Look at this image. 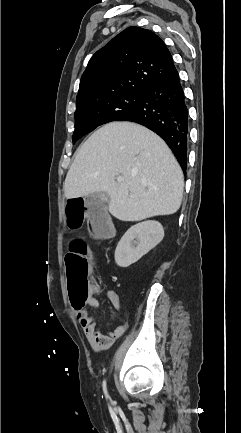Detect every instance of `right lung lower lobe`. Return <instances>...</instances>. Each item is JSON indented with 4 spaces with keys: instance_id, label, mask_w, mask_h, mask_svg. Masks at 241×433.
<instances>
[{
    "instance_id": "1",
    "label": "right lung lower lobe",
    "mask_w": 241,
    "mask_h": 433,
    "mask_svg": "<svg viewBox=\"0 0 241 433\" xmlns=\"http://www.w3.org/2000/svg\"><path fill=\"white\" fill-rule=\"evenodd\" d=\"M119 121L136 122L154 131L168 144L186 171L189 119L177 71L149 84L143 91L141 103Z\"/></svg>"
}]
</instances>
